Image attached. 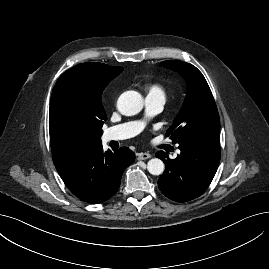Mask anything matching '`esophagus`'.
Wrapping results in <instances>:
<instances>
[{
    "label": "esophagus",
    "mask_w": 269,
    "mask_h": 269,
    "mask_svg": "<svg viewBox=\"0 0 269 269\" xmlns=\"http://www.w3.org/2000/svg\"><path fill=\"white\" fill-rule=\"evenodd\" d=\"M151 158V154L150 153H139L137 154V159L138 160H146Z\"/></svg>",
    "instance_id": "obj_1"
}]
</instances>
